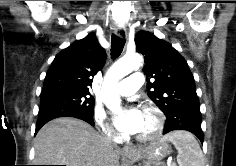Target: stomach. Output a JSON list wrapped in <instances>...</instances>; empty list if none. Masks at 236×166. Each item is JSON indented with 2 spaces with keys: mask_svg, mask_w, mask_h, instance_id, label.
<instances>
[{
  "mask_svg": "<svg viewBox=\"0 0 236 166\" xmlns=\"http://www.w3.org/2000/svg\"><path fill=\"white\" fill-rule=\"evenodd\" d=\"M171 149L165 142L159 141L151 143L149 146L140 149L136 155L131 156L135 159H143L144 166H159L161 160L169 155Z\"/></svg>",
  "mask_w": 236,
  "mask_h": 166,
  "instance_id": "obj_1",
  "label": "stomach"
}]
</instances>
